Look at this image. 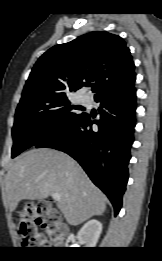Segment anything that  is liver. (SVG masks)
<instances>
[{
	"label": "liver",
	"instance_id": "1",
	"mask_svg": "<svg viewBox=\"0 0 162 261\" xmlns=\"http://www.w3.org/2000/svg\"><path fill=\"white\" fill-rule=\"evenodd\" d=\"M59 193L57 207L70 225H79L106 209L105 195L67 154L48 148L21 155L6 175L5 197L10 212L21 200Z\"/></svg>",
	"mask_w": 162,
	"mask_h": 261
}]
</instances>
